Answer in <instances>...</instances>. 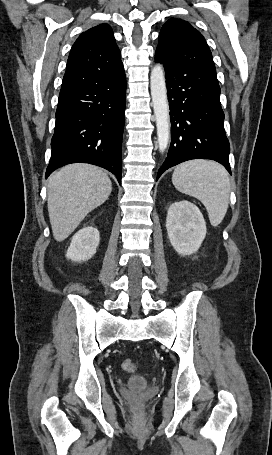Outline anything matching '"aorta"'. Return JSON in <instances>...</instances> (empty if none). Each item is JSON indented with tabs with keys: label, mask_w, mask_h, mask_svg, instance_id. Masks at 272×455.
<instances>
[{
	"label": "aorta",
	"mask_w": 272,
	"mask_h": 455,
	"mask_svg": "<svg viewBox=\"0 0 272 455\" xmlns=\"http://www.w3.org/2000/svg\"><path fill=\"white\" fill-rule=\"evenodd\" d=\"M150 89L152 106L156 119L158 148L159 151L163 153L167 149L170 139V119L165 73L160 64H156L152 68L150 75Z\"/></svg>",
	"instance_id": "1"
}]
</instances>
